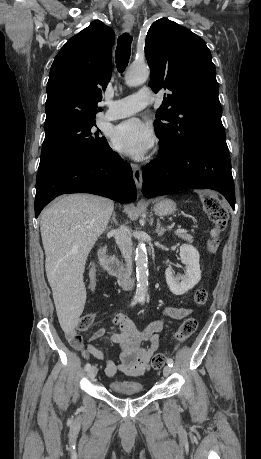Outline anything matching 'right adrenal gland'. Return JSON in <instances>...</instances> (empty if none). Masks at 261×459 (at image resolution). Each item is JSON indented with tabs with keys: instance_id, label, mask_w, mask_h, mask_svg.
<instances>
[{
	"instance_id": "1",
	"label": "right adrenal gland",
	"mask_w": 261,
	"mask_h": 459,
	"mask_svg": "<svg viewBox=\"0 0 261 459\" xmlns=\"http://www.w3.org/2000/svg\"><path fill=\"white\" fill-rule=\"evenodd\" d=\"M112 223H114L116 225L118 224L115 212H113V214H112ZM108 229H111V226L108 227Z\"/></svg>"
}]
</instances>
